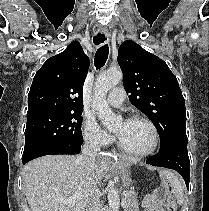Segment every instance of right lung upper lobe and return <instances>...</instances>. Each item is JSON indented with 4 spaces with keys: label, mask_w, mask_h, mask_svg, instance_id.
Masks as SVG:
<instances>
[{
    "label": "right lung upper lobe",
    "mask_w": 209,
    "mask_h": 211,
    "mask_svg": "<svg viewBox=\"0 0 209 211\" xmlns=\"http://www.w3.org/2000/svg\"><path fill=\"white\" fill-rule=\"evenodd\" d=\"M89 59L78 41L49 58L34 76L28 95V112L82 110L83 84Z\"/></svg>",
    "instance_id": "right-lung-upper-lobe-1"
}]
</instances>
